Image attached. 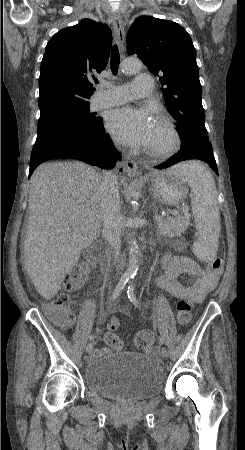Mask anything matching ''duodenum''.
<instances>
[{
    "mask_svg": "<svg viewBox=\"0 0 245 450\" xmlns=\"http://www.w3.org/2000/svg\"><path fill=\"white\" fill-rule=\"evenodd\" d=\"M104 263L107 266H111L112 265V256H111L110 250H107L106 253H105Z\"/></svg>",
    "mask_w": 245,
    "mask_h": 450,
    "instance_id": "duodenum-1",
    "label": "duodenum"
}]
</instances>
